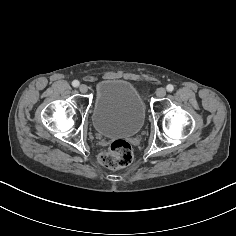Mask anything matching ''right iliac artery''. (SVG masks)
I'll list each match as a JSON object with an SVG mask.
<instances>
[{
    "instance_id": "right-iliac-artery-1",
    "label": "right iliac artery",
    "mask_w": 236,
    "mask_h": 236,
    "mask_svg": "<svg viewBox=\"0 0 236 236\" xmlns=\"http://www.w3.org/2000/svg\"><path fill=\"white\" fill-rule=\"evenodd\" d=\"M72 85H73L74 87H78V86H79V81H78V80H74V81L72 82Z\"/></svg>"
}]
</instances>
